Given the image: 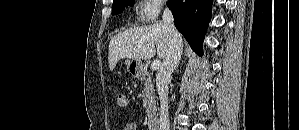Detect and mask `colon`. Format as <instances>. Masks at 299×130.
<instances>
[{
  "label": "colon",
  "instance_id": "colon-1",
  "mask_svg": "<svg viewBox=\"0 0 299 130\" xmlns=\"http://www.w3.org/2000/svg\"><path fill=\"white\" fill-rule=\"evenodd\" d=\"M117 105L120 108H125L127 106V97L124 94H119L117 96Z\"/></svg>",
  "mask_w": 299,
  "mask_h": 130
}]
</instances>
